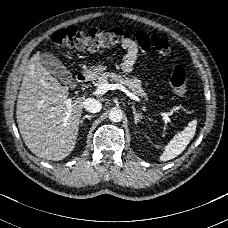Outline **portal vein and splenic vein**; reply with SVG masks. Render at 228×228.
Returning <instances> with one entry per match:
<instances>
[{"label": "portal vein and splenic vein", "instance_id": "portal-vein-and-splenic-vein-1", "mask_svg": "<svg viewBox=\"0 0 228 228\" xmlns=\"http://www.w3.org/2000/svg\"><path fill=\"white\" fill-rule=\"evenodd\" d=\"M116 89H120L121 91H123L127 96L136 99V95H134L133 93H131L128 89H126V87H124L122 84L119 83H115V84H105L102 83L100 84L97 89L92 90V94L95 96H102L104 94H106V92L108 90H116ZM183 105L178 104L175 107H173V109L167 113H164L163 111H161L160 109L156 110V113L161 116L164 125L162 127V137L166 138L168 131H169V127L173 128L176 132L180 131V127L177 126L176 124H174L168 117H172V116H179L181 110H183Z\"/></svg>", "mask_w": 228, "mask_h": 228}]
</instances>
